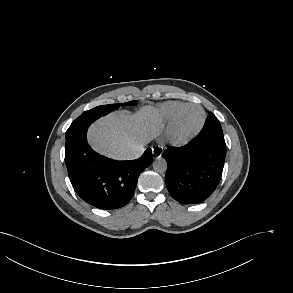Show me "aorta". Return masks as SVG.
<instances>
[{"instance_id":"1","label":"aorta","mask_w":293,"mask_h":293,"mask_svg":"<svg viewBox=\"0 0 293 293\" xmlns=\"http://www.w3.org/2000/svg\"><path fill=\"white\" fill-rule=\"evenodd\" d=\"M153 169L156 172H165L167 169V162L165 159L158 157L155 159V161L153 162Z\"/></svg>"}]
</instances>
